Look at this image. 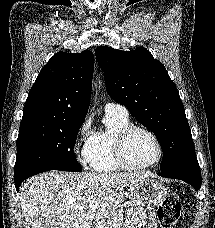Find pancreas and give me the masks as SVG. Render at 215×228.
Instances as JSON below:
<instances>
[{
  "instance_id": "cf45deb5",
  "label": "pancreas",
  "mask_w": 215,
  "mask_h": 228,
  "mask_svg": "<svg viewBox=\"0 0 215 228\" xmlns=\"http://www.w3.org/2000/svg\"><path fill=\"white\" fill-rule=\"evenodd\" d=\"M147 222V212L142 206L127 210L126 220L123 228H144Z\"/></svg>"
}]
</instances>
